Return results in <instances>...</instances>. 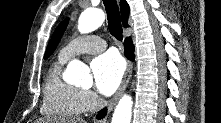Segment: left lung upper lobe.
I'll use <instances>...</instances> for the list:
<instances>
[{
    "mask_svg": "<svg viewBox=\"0 0 221 123\" xmlns=\"http://www.w3.org/2000/svg\"><path fill=\"white\" fill-rule=\"evenodd\" d=\"M68 21L69 19H65L63 20L59 25L58 27L56 28L49 44H48V47H47V50H46V54H45V59L48 58L56 49L67 25H68Z\"/></svg>",
    "mask_w": 221,
    "mask_h": 123,
    "instance_id": "5c2ea615",
    "label": "left lung upper lobe"
}]
</instances>
